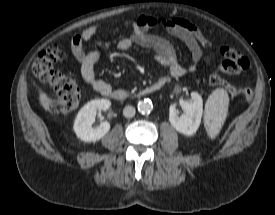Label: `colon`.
Here are the masks:
<instances>
[{"instance_id":"5ec220e1","label":"colon","mask_w":275,"mask_h":215,"mask_svg":"<svg viewBox=\"0 0 275 215\" xmlns=\"http://www.w3.org/2000/svg\"><path fill=\"white\" fill-rule=\"evenodd\" d=\"M223 60L220 65L208 76V82L212 86H222L242 100L248 101L253 96V91L248 87L234 88L222 79L221 74L238 75L248 67V60L238 50L224 46L221 48ZM64 58L63 51L58 46H49L44 49L32 66L35 77L53 89L56 93L51 102V109L62 115L69 114L80 103L82 92L77 81L57 70L54 65Z\"/></svg>"}]
</instances>
